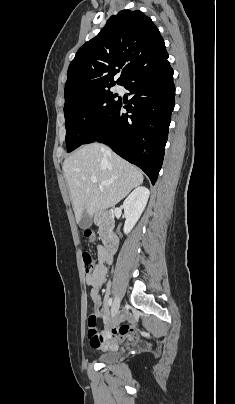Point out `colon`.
Instances as JSON below:
<instances>
[{"label": "colon", "mask_w": 235, "mask_h": 404, "mask_svg": "<svg viewBox=\"0 0 235 404\" xmlns=\"http://www.w3.org/2000/svg\"><path fill=\"white\" fill-rule=\"evenodd\" d=\"M86 237L89 238L90 240H93L95 238L94 233L91 230L86 231ZM82 261L84 265V269L87 273H90L92 269L94 268V257L89 251H83L82 253ZM97 328V315L96 314H91L88 318V329L92 332L95 333Z\"/></svg>", "instance_id": "5ec220e1"}]
</instances>
